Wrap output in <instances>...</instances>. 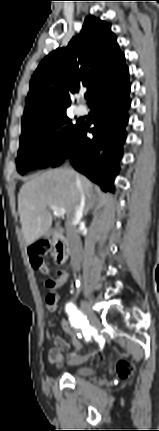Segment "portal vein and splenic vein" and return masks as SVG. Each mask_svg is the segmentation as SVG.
Here are the masks:
<instances>
[{
	"label": "portal vein and splenic vein",
	"instance_id": "obj_1",
	"mask_svg": "<svg viewBox=\"0 0 159 431\" xmlns=\"http://www.w3.org/2000/svg\"><path fill=\"white\" fill-rule=\"evenodd\" d=\"M49 207H50V209H51L55 214H57L59 217H63V216L65 215V213H66L65 209H63V208H58V207H57V206H55V205H50Z\"/></svg>",
	"mask_w": 159,
	"mask_h": 431
}]
</instances>
